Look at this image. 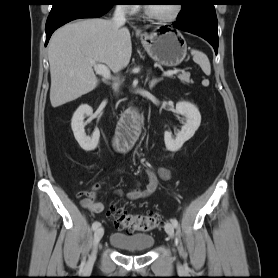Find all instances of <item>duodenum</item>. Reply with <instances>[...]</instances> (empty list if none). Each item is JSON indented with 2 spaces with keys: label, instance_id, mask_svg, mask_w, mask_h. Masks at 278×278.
Masks as SVG:
<instances>
[{
  "label": "duodenum",
  "instance_id": "1",
  "mask_svg": "<svg viewBox=\"0 0 278 278\" xmlns=\"http://www.w3.org/2000/svg\"><path fill=\"white\" fill-rule=\"evenodd\" d=\"M143 122L144 119L137 110H130L121 117L115 133V143L119 149L122 150L126 144L138 138Z\"/></svg>",
  "mask_w": 278,
  "mask_h": 278
}]
</instances>
